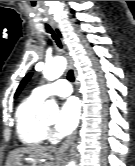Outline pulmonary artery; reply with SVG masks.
I'll use <instances>...</instances> for the list:
<instances>
[{"label": "pulmonary artery", "mask_w": 135, "mask_h": 166, "mask_svg": "<svg viewBox=\"0 0 135 166\" xmlns=\"http://www.w3.org/2000/svg\"><path fill=\"white\" fill-rule=\"evenodd\" d=\"M72 93V87L67 80L61 79L51 85H42L35 88L32 94L40 99H46L55 95L59 97H67Z\"/></svg>", "instance_id": "1"}]
</instances>
